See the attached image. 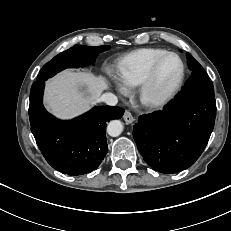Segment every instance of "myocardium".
Here are the masks:
<instances>
[{
    "instance_id": "myocardium-1",
    "label": "myocardium",
    "mask_w": 231,
    "mask_h": 231,
    "mask_svg": "<svg viewBox=\"0 0 231 231\" xmlns=\"http://www.w3.org/2000/svg\"><path fill=\"white\" fill-rule=\"evenodd\" d=\"M170 56H175L180 61V64H181L180 75L177 81L175 82V84L170 89H168L166 92L162 93L161 95L152 96L150 94V89L157 75V72L161 64ZM185 72H186L185 63L179 54L175 52H167L164 55H162L160 58H158L154 62V64L151 66V68L149 69L148 73L146 74L142 82L138 85L139 86L138 87V99L140 103L147 108H158V107L165 105L180 90L184 82Z\"/></svg>"
}]
</instances>
